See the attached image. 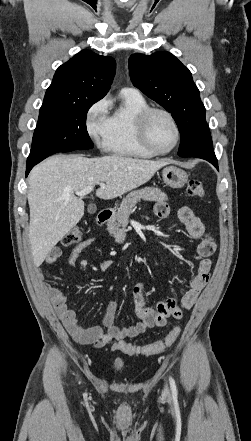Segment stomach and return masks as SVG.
Masks as SVG:
<instances>
[{
	"instance_id": "1",
	"label": "stomach",
	"mask_w": 251,
	"mask_h": 441,
	"mask_svg": "<svg viewBox=\"0 0 251 441\" xmlns=\"http://www.w3.org/2000/svg\"><path fill=\"white\" fill-rule=\"evenodd\" d=\"M164 183L174 189L182 188L188 181L187 173L176 166H167L162 171Z\"/></svg>"
}]
</instances>
